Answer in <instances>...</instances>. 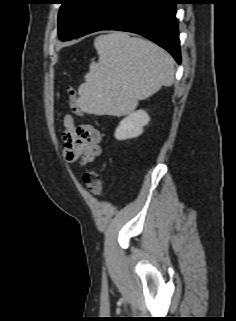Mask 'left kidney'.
<instances>
[{"label": "left kidney", "mask_w": 236, "mask_h": 321, "mask_svg": "<svg viewBox=\"0 0 236 321\" xmlns=\"http://www.w3.org/2000/svg\"><path fill=\"white\" fill-rule=\"evenodd\" d=\"M150 117L144 110H137L121 120L115 131L117 140L138 137L143 133V127L148 124Z\"/></svg>", "instance_id": "obj_1"}]
</instances>
